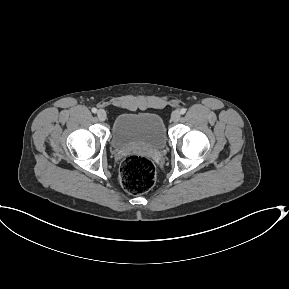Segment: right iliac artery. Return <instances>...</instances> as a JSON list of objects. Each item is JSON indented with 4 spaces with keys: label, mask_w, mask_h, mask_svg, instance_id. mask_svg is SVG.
I'll list each match as a JSON object with an SVG mask.
<instances>
[{
    "label": "right iliac artery",
    "mask_w": 289,
    "mask_h": 289,
    "mask_svg": "<svg viewBox=\"0 0 289 289\" xmlns=\"http://www.w3.org/2000/svg\"><path fill=\"white\" fill-rule=\"evenodd\" d=\"M92 112H93V113H96V112H97V109H96V108H92Z\"/></svg>",
    "instance_id": "82829eb1"
}]
</instances>
